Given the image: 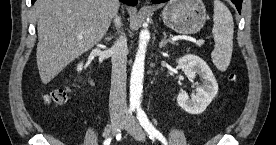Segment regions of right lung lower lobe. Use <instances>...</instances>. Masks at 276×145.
<instances>
[{
  "label": "right lung lower lobe",
  "mask_w": 276,
  "mask_h": 145,
  "mask_svg": "<svg viewBox=\"0 0 276 145\" xmlns=\"http://www.w3.org/2000/svg\"><path fill=\"white\" fill-rule=\"evenodd\" d=\"M35 0H31L32 3H34ZM121 2L130 5V6H135L137 3V0H120Z\"/></svg>",
  "instance_id": "98d812e1"
}]
</instances>
